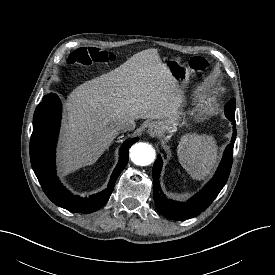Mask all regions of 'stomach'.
I'll return each instance as SVG.
<instances>
[{"mask_svg":"<svg viewBox=\"0 0 275 275\" xmlns=\"http://www.w3.org/2000/svg\"><path fill=\"white\" fill-rule=\"evenodd\" d=\"M165 65L169 69L175 83L177 89L182 91L187 84L189 83V68L182 64L180 61L175 59L168 60ZM179 119V112L177 111L175 114H172L170 117L158 121L157 124L161 130V132H169L173 133L176 131V126Z\"/></svg>","mask_w":275,"mask_h":275,"instance_id":"stomach-1","label":"stomach"}]
</instances>
